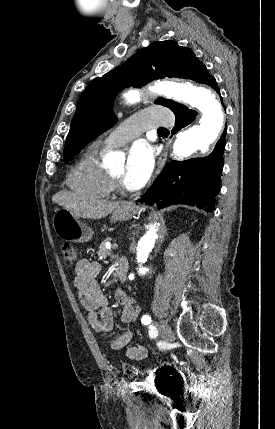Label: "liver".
I'll list each match as a JSON object with an SVG mask.
<instances>
[{
    "label": "liver",
    "mask_w": 275,
    "mask_h": 429,
    "mask_svg": "<svg viewBox=\"0 0 275 429\" xmlns=\"http://www.w3.org/2000/svg\"><path fill=\"white\" fill-rule=\"evenodd\" d=\"M52 201L69 210L75 217L87 219L104 218L120 204L119 202L83 198L67 190L57 192L52 197Z\"/></svg>",
    "instance_id": "6515ba94"
}]
</instances>
